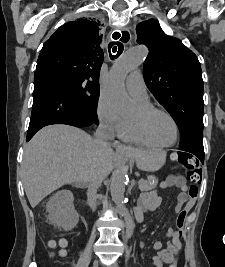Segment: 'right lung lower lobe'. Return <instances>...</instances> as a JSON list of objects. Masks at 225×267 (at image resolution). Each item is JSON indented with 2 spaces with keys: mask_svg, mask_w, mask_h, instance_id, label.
<instances>
[{
  "mask_svg": "<svg viewBox=\"0 0 225 267\" xmlns=\"http://www.w3.org/2000/svg\"><path fill=\"white\" fill-rule=\"evenodd\" d=\"M67 124L87 127L96 123L80 105L70 89L53 74L36 71L31 120L26 141L42 127Z\"/></svg>",
  "mask_w": 225,
  "mask_h": 267,
  "instance_id": "obj_1",
  "label": "right lung lower lobe"
}]
</instances>
